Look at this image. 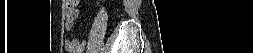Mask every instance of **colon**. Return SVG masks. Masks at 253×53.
<instances>
[{"label": "colon", "instance_id": "obj_1", "mask_svg": "<svg viewBox=\"0 0 253 53\" xmlns=\"http://www.w3.org/2000/svg\"><path fill=\"white\" fill-rule=\"evenodd\" d=\"M68 3H73L72 2V0H70V1H67ZM68 15H69V17L72 19V20H74L75 18H76V15H77V9L75 8V7H72V6H70L69 8H68Z\"/></svg>", "mask_w": 253, "mask_h": 53}]
</instances>
